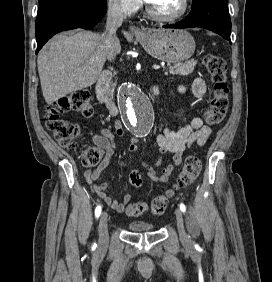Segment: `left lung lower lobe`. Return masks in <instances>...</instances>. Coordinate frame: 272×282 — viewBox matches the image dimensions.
Returning a JSON list of instances; mask_svg holds the SVG:
<instances>
[{
  "instance_id": "left-lung-lower-lobe-1",
  "label": "left lung lower lobe",
  "mask_w": 272,
  "mask_h": 282,
  "mask_svg": "<svg viewBox=\"0 0 272 282\" xmlns=\"http://www.w3.org/2000/svg\"><path fill=\"white\" fill-rule=\"evenodd\" d=\"M166 28H206L230 41L231 20L227 0H193L192 9L183 21ZM231 42V41H230Z\"/></svg>"
}]
</instances>
